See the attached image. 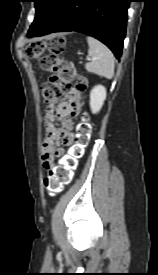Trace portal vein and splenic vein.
Masks as SVG:
<instances>
[{"instance_id": "obj_1", "label": "portal vein and splenic vein", "mask_w": 158, "mask_h": 275, "mask_svg": "<svg viewBox=\"0 0 158 275\" xmlns=\"http://www.w3.org/2000/svg\"><path fill=\"white\" fill-rule=\"evenodd\" d=\"M88 61H91L92 59L91 58H87Z\"/></svg>"}]
</instances>
